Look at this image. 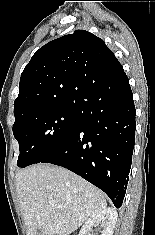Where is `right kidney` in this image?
<instances>
[{
	"label": "right kidney",
	"instance_id": "obj_1",
	"mask_svg": "<svg viewBox=\"0 0 155 235\" xmlns=\"http://www.w3.org/2000/svg\"><path fill=\"white\" fill-rule=\"evenodd\" d=\"M118 214L112 208L105 209L91 216L82 226L79 235H86L95 225H99L103 230L101 235H113Z\"/></svg>",
	"mask_w": 155,
	"mask_h": 235
}]
</instances>
